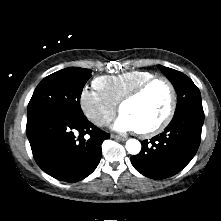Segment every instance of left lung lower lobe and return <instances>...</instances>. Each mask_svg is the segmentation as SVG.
Returning a JSON list of instances; mask_svg holds the SVG:
<instances>
[{
	"instance_id": "1",
	"label": "left lung lower lobe",
	"mask_w": 221,
	"mask_h": 221,
	"mask_svg": "<svg viewBox=\"0 0 221 221\" xmlns=\"http://www.w3.org/2000/svg\"><path fill=\"white\" fill-rule=\"evenodd\" d=\"M203 122V109H187L174 115L164 132L142 141L141 152L131 157L132 165L155 180L177 174L196 154Z\"/></svg>"
}]
</instances>
